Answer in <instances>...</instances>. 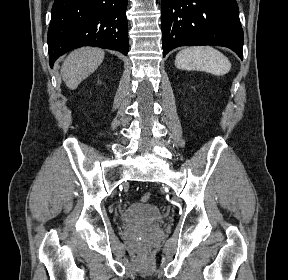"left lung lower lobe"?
<instances>
[{
    "label": "left lung lower lobe",
    "mask_w": 288,
    "mask_h": 280,
    "mask_svg": "<svg viewBox=\"0 0 288 280\" xmlns=\"http://www.w3.org/2000/svg\"><path fill=\"white\" fill-rule=\"evenodd\" d=\"M163 57L179 46L218 45L243 59V30L235 0H162Z\"/></svg>",
    "instance_id": "left-lung-lower-lobe-1"
}]
</instances>
